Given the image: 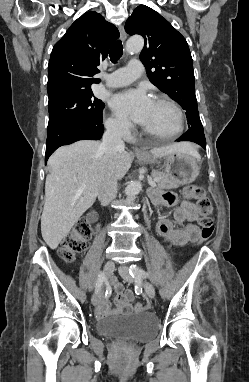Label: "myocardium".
<instances>
[{
    "mask_svg": "<svg viewBox=\"0 0 249 382\" xmlns=\"http://www.w3.org/2000/svg\"><path fill=\"white\" fill-rule=\"evenodd\" d=\"M155 101L165 103V104L169 105L174 110L176 117H177V129L174 133H172L170 135H156V134L146 130L144 127H142L141 129H142L143 133L145 135H147L148 137H151V138H154V139L160 140V141H171V140L176 139L178 136H180V134L184 130V114H183L181 107L174 100H172L171 98H169L167 96H158V97H156Z\"/></svg>",
    "mask_w": 249,
    "mask_h": 382,
    "instance_id": "obj_1",
    "label": "myocardium"
}]
</instances>
